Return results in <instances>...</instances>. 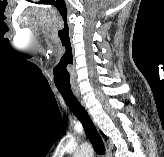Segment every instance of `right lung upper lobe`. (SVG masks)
I'll list each match as a JSON object with an SVG mask.
<instances>
[{"instance_id":"right-lung-upper-lobe-1","label":"right lung upper lobe","mask_w":164,"mask_h":157,"mask_svg":"<svg viewBox=\"0 0 164 157\" xmlns=\"http://www.w3.org/2000/svg\"><path fill=\"white\" fill-rule=\"evenodd\" d=\"M103 137H104V138H107L104 134H103Z\"/></svg>"}]
</instances>
